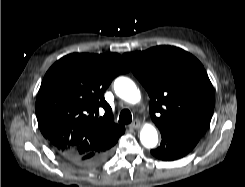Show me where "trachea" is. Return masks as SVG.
Segmentation results:
<instances>
[{"mask_svg": "<svg viewBox=\"0 0 245 187\" xmlns=\"http://www.w3.org/2000/svg\"><path fill=\"white\" fill-rule=\"evenodd\" d=\"M118 121L122 124H129L132 121L131 112L128 109L122 110Z\"/></svg>", "mask_w": 245, "mask_h": 187, "instance_id": "1", "label": "trachea"}]
</instances>
